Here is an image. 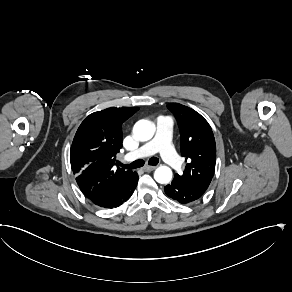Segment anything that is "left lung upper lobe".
<instances>
[{"instance_id": "5c2ea615", "label": "left lung upper lobe", "mask_w": 292, "mask_h": 292, "mask_svg": "<svg viewBox=\"0 0 292 292\" xmlns=\"http://www.w3.org/2000/svg\"><path fill=\"white\" fill-rule=\"evenodd\" d=\"M167 107L178 122L181 154L187 162L183 174H176L173 180L204 193L215 171L216 143L212 129L204 117L187 106L169 103Z\"/></svg>"}]
</instances>
